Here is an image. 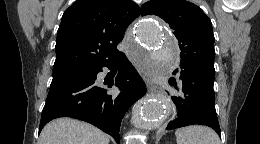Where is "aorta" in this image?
<instances>
[{
	"instance_id": "obj_1",
	"label": "aorta",
	"mask_w": 260,
	"mask_h": 144,
	"mask_svg": "<svg viewBox=\"0 0 260 144\" xmlns=\"http://www.w3.org/2000/svg\"><path fill=\"white\" fill-rule=\"evenodd\" d=\"M135 30L139 44L131 48L135 58L147 68L168 71L177 49L174 38L162 30L155 18L142 19ZM169 108L166 98L145 97L133 108V124L138 129L159 127L164 124Z\"/></svg>"
}]
</instances>
